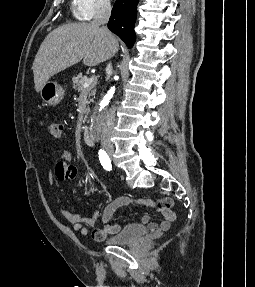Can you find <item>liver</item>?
Listing matches in <instances>:
<instances>
[{
  "label": "liver",
  "instance_id": "1",
  "mask_svg": "<svg viewBox=\"0 0 255 287\" xmlns=\"http://www.w3.org/2000/svg\"><path fill=\"white\" fill-rule=\"evenodd\" d=\"M118 48L117 38L101 32L98 24L70 22L59 26L46 36L35 56L32 70L36 92L62 70L81 60L85 66H98L110 60Z\"/></svg>",
  "mask_w": 255,
  "mask_h": 287
}]
</instances>
